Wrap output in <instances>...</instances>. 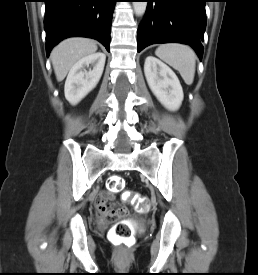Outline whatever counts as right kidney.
<instances>
[{"mask_svg": "<svg viewBox=\"0 0 258 275\" xmlns=\"http://www.w3.org/2000/svg\"><path fill=\"white\" fill-rule=\"evenodd\" d=\"M106 56L101 52L88 55L76 62L65 81L66 99L73 105L81 101L99 82L103 73ZM92 66L88 72L86 67Z\"/></svg>", "mask_w": 258, "mask_h": 275, "instance_id": "1", "label": "right kidney"}]
</instances>
